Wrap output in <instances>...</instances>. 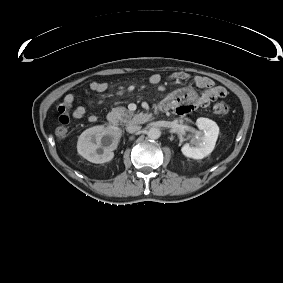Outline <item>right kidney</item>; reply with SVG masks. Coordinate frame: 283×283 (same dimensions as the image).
Here are the masks:
<instances>
[{
  "label": "right kidney",
  "mask_w": 283,
  "mask_h": 283,
  "mask_svg": "<svg viewBox=\"0 0 283 283\" xmlns=\"http://www.w3.org/2000/svg\"><path fill=\"white\" fill-rule=\"evenodd\" d=\"M119 139L120 134L114 127L94 126L79 136L77 151L92 163H105L113 159Z\"/></svg>",
  "instance_id": "ca27d5eb"
}]
</instances>
